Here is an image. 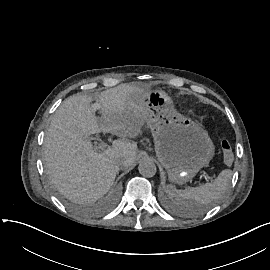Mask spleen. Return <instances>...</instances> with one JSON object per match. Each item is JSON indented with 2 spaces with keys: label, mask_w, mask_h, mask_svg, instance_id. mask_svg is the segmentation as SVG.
<instances>
[{
  "label": "spleen",
  "mask_w": 270,
  "mask_h": 270,
  "mask_svg": "<svg viewBox=\"0 0 270 270\" xmlns=\"http://www.w3.org/2000/svg\"><path fill=\"white\" fill-rule=\"evenodd\" d=\"M232 175L233 172L230 169H225L220 172L213 182L205 183L196 188L176 190L169 186L168 195L170 198H176L177 200H195L199 204H209L211 201L219 199L225 193Z\"/></svg>",
  "instance_id": "3e777b00"
}]
</instances>
